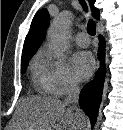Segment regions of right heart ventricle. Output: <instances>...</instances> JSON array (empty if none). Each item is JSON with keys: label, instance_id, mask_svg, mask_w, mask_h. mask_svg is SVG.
Instances as JSON below:
<instances>
[{"label": "right heart ventricle", "instance_id": "e07e8e85", "mask_svg": "<svg viewBox=\"0 0 123 130\" xmlns=\"http://www.w3.org/2000/svg\"><path fill=\"white\" fill-rule=\"evenodd\" d=\"M43 62V53L37 54L32 64L33 78L42 92L51 94L49 84L44 74Z\"/></svg>", "mask_w": 123, "mask_h": 130}]
</instances>
